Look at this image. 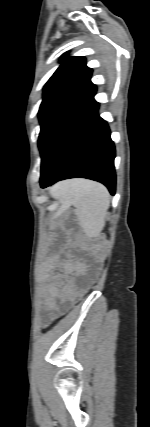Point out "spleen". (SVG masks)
<instances>
[{"mask_svg": "<svg viewBox=\"0 0 150 427\" xmlns=\"http://www.w3.org/2000/svg\"><path fill=\"white\" fill-rule=\"evenodd\" d=\"M51 194L76 208V215L86 235L95 237L100 234L110 206V195L103 185L76 179L60 184L51 190Z\"/></svg>", "mask_w": 150, "mask_h": 427, "instance_id": "3e777b00", "label": "spleen"}]
</instances>
